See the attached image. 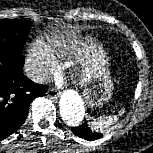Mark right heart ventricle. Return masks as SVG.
<instances>
[{
	"label": "right heart ventricle",
	"mask_w": 153,
	"mask_h": 153,
	"mask_svg": "<svg viewBox=\"0 0 153 153\" xmlns=\"http://www.w3.org/2000/svg\"><path fill=\"white\" fill-rule=\"evenodd\" d=\"M48 49H49V51H50V53H51V55L53 56L54 59L61 58L64 55V50L58 44L51 43L48 46Z\"/></svg>",
	"instance_id": "obj_1"
}]
</instances>
